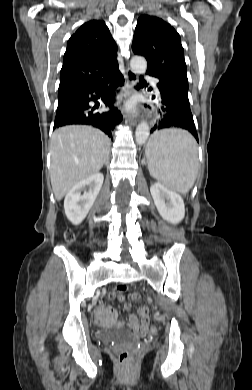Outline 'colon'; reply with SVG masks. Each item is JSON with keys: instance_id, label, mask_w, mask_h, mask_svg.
Returning a JSON list of instances; mask_svg holds the SVG:
<instances>
[{"instance_id": "obj_1", "label": "colon", "mask_w": 252, "mask_h": 390, "mask_svg": "<svg viewBox=\"0 0 252 390\" xmlns=\"http://www.w3.org/2000/svg\"><path fill=\"white\" fill-rule=\"evenodd\" d=\"M64 236L68 242H71L74 239V235L71 231H66ZM126 289L127 288L124 285H120L117 287V291L121 292V293L125 292ZM130 299L137 301L140 299V295L138 293H132V294H130ZM132 356H133V351L129 348H124V349L120 350V352L118 353V359L121 363H126V362L131 361Z\"/></svg>"}]
</instances>
